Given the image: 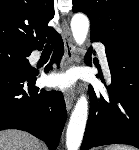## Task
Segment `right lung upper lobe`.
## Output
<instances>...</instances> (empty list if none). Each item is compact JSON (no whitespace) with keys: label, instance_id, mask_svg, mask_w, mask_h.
<instances>
[{"label":"right lung upper lobe","instance_id":"cb5924a9","mask_svg":"<svg viewBox=\"0 0 139 150\" xmlns=\"http://www.w3.org/2000/svg\"><path fill=\"white\" fill-rule=\"evenodd\" d=\"M54 0H0V45L32 52L56 31Z\"/></svg>","mask_w":139,"mask_h":150}]
</instances>
